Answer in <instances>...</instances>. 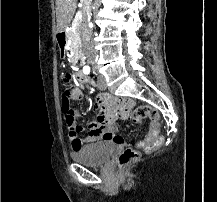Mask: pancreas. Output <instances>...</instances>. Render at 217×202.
Segmentation results:
<instances>
[{"mask_svg": "<svg viewBox=\"0 0 217 202\" xmlns=\"http://www.w3.org/2000/svg\"><path fill=\"white\" fill-rule=\"evenodd\" d=\"M70 40L72 42L71 50H72V52H74L73 58H74V60H78V48H77V46H74L75 42H77V40H78V36H76V34H71Z\"/></svg>", "mask_w": 217, "mask_h": 202, "instance_id": "cf45deb5", "label": "pancreas"}]
</instances>
